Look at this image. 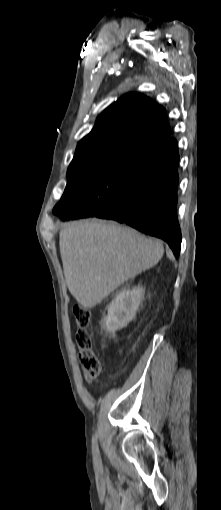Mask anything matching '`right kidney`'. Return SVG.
Instances as JSON below:
<instances>
[{
	"label": "right kidney",
	"mask_w": 221,
	"mask_h": 510,
	"mask_svg": "<svg viewBox=\"0 0 221 510\" xmlns=\"http://www.w3.org/2000/svg\"><path fill=\"white\" fill-rule=\"evenodd\" d=\"M144 294L145 289L142 286L123 289L117 293L114 300L109 304L108 314L104 318L108 332L114 333L133 320Z\"/></svg>",
	"instance_id": "ca27d5eb"
}]
</instances>
